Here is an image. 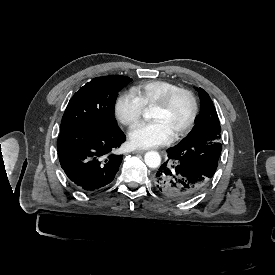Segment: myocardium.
I'll list each match as a JSON object with an SVG mask.
<instances>
[{
  "mask_svg": "<svg viewBox=\"0 0 275 275\" xmlns=\"http://www.w3.org/2000/svg\"><path fill=\"white\" fill-rule=\"evenodd\" d=\"M180 94L185 95L189 99L191 104V114L187 123L177 133H175L171 137L172 141H175L184 137L192 130L196 122V119L198 116V110H199L198 102L195 95L188 89L177 87L171 90L170 92H168L160 101H158L152 106V108L166 109L170 106L172 101Z\"/></svg>",
  "mask_w": 275,
  "mask_h": 275,
  "instance_id": "myocardium-1",
  "label": "myocardium"
}]
</instances>
